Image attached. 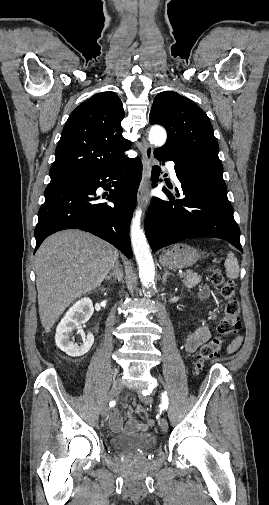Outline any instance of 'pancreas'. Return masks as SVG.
<instances>
[{
    "label": "pancreas",
    "mask_w": 269,
    "mask_h": 505,
    "mask_svg": "<svg viewBox=\"0 0 269 505\" xmlns=\"http://www.w3.org/2000/svg\"><path fill=\"white\" fill-rule=\"evenodd\" d=\"M185 275H186V279L183 280V283L188 288H192V287L196 286L201 281V277L193 271L189 270L185 273Z\"/></svg>",
    "instance_id": "obj_1"
}]
</instances>
